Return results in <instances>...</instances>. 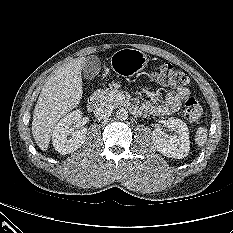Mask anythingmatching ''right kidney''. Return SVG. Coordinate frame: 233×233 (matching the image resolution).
Segmentation results:
<instances>
[{"label": "right kidney", "instance_id": "obj_1", "mask_svg": "<svg viewBox=\"0 0 233 233\" xmlns=\"http://www.w3.org/2000/svg\"><path fill=\"white\" fill-rule=\"evenodd\" d=\"M82 118V112L75 110L64 116L55 126L52 134V144L61 155L76 151L85 142L86 128L74 130L73 124Z\"/></svg>", "mask_w": 233, "mask_h": 233}]
</instances>
